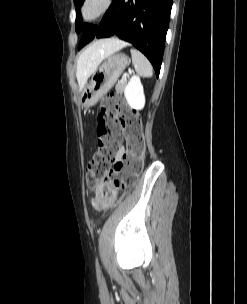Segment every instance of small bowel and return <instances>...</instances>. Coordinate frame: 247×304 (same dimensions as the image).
Returning <instances> with one entry per match:
<instances>
[{
  "instance_id": "c3829d8e",
  "label": "small bowel",
  "mask_w": 247,
  "mask_h": 304,
  "mask_svg": "<svg viewBox=\"0 0 247 304\" xmlns=\"http://www.w3.org/2000/svg\"><path fill=\"white\" fill-rule=\"evenodd\" d=\"M123 154H124V149L122 148L117 153V156H116L117 160H120L122 158Z\"/></svg>"
}]
</instances>
